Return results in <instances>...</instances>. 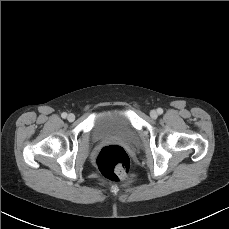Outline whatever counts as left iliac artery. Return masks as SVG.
I'll use <instances>...</instances> for the list:
<instances>
[{
    "label": "left iliac artery",
    "instance_id": "obj_1",
    "mask_svg": "<svg viewBox=\"0 0 229 229\" xmlns=\"http://www.w3.org/2000/svg\"><path fill=\"white\" fill-rule=\"evenodd\" d=\"M157 113L161 115L163 113V109L162 108H158L157 109Z\"/></svg>",
    "mask_w": 229,
    "mask_h": 229
}]
</instances>
